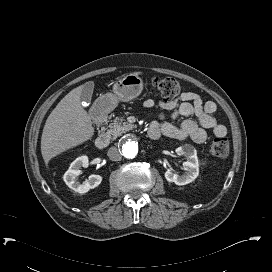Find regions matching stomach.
<instances>
[{
	"instance_id": "0dacf381",
	"label": "stomach",
	"mask_w": 272,
	"mask_h": 272,
	"mask_svg": "<svg viewBox=\"0 0 272 272\" xmlns=\"http://www.w3.org/2000/svg\"><path fill=\"white\" fill-rule=\"evenodd\" d=\"M143 89V80L138 74L131 73L116 81L113 93L100 98L104 108L109 112L116 108L118 103L128 102L140 95Z\"/></svg>"
}]
</instances>
